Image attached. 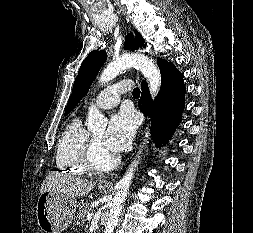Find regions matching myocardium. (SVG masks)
I'll list each match as a JSON object with an SVG mask.
<instances>
[{
  "mask_svg": "<svg viewBox=\"0 0 253 233\" xmlns=\"http://www.w3.org/2000/svg\"><path fill=\"white\" fill-rule=\"evenodd\" d=\"M99 152L100 149L98 143L93 136H90L82 155V161L89 171L102 172L110 170L116 166L118 156L112 155L102 159L99 156Z\"/></svg>",
  "mask_w": 253,
  "mask_h": 233,
  "instance_id": "obj_1",
  "label": "myocardium"
}]
</instances>
